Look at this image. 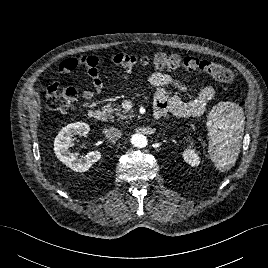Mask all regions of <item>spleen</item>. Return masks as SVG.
Masks as SVG:
<instances>
[{"label":"spleen","mask_w":268,"mask_h":268,"mask_svg":"<svg viewBox=\"0 0 268 268\" xmlns=\"http://www.w3.org/2000/svg\"><path fill=\"white\" fill-rule=\"evenodd\" d=\"M244 120L242 107L233 102H219L208 114V153L221 172L231 169L238 158Z\"/></svg>","instance_id":"3e777b00"}]
</instances>
